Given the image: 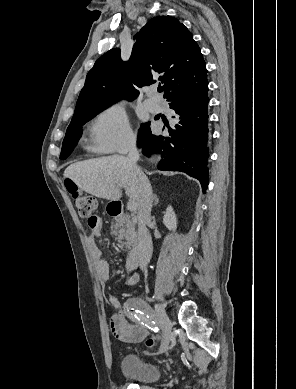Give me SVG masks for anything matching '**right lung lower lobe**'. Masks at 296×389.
I'll list each match as a JSON object with an SVG mask.
<instances>
[{
    "mask_svg": "<svg viewBox=\"0 0 296 389\" xmlns=\"http://www.w3.org/2000/svg\"><path fill=\"white\" fill-rule=\"evenodd\" d=\"M208 86L199 92L175 99L177 124L169 129L170 136L156 135L150 130L148 138L139 144L146 156L160 152L164 160L159 170L182 171L198 179L205 192L208 185L209 128Z\"/></svg>",
    "mask_w": 296,
    "mask_h": 389,
    "instance_id": "right-lung-lower-lobe-1",
    "label": "right lung lower lobe"
}]
</instances>
